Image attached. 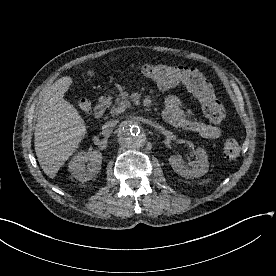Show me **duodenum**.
Returning <instances> with one entry per match:
<instances>
[{"label":"duodenum","mask_w":276,"mask_h":276,"mask_svg":"<svg viewBox=\"0 0 276 276\" xmlns=\"http://www.w3.org/2000/svg\"><path fill=\"white\" fill-rule=\"evenodd\" d=\"M108 99L103 97L99 100V102L97 103V105L95 106V109H94V115L97 119H102L104 114H105V111L108 107Z\"/></svg>","instance_id":"obj_1"}]
</instances>
